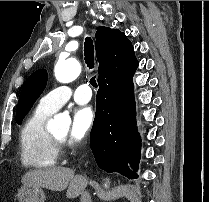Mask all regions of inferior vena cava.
Returning a JSON list of instances; mask_svg holds the SVG:
<instances>
[{
    "instance_id": "inferior-vena-cava-1",
    "label": "inferior vena cava",
    "mask_w": 209,
    "mask_h": 202,
    "mask_svg": "<svg viewBox=\"0 0 209 202\" xmlns=\"http://www.w3.org/2000/svg\"><path fill=\"white\" fill-rule=\"evenodd\" d=\"M80 201L81 202H92L91 201V196H90L88 191H86V190L82 191Z\"/></svg>"
}]
</instances>
